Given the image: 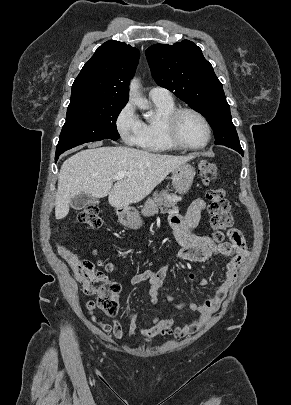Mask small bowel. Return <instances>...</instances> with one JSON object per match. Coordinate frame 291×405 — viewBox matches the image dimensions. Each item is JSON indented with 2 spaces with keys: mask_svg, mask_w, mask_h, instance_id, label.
I'll use <instances>...</instances> for the list:
<instances>
[{
  "mask_svg": "<svg viewBox=\"0 0 291 405\" xmlns=\"http://www.w3.org/2000/svg\"><path fill=\"white\" fill-rule=\"evenodd\" d=\"M205 209L206 201L198 198L192 202L185 216L175 212L170 213L169 222L175 231L177 241L182 246L178 257L184 261L202 262L208 260L215 253L222 254L228 258L223 278L214 294L202 304H174L172 296L166 294L162 298L164 303L172 304L177 309H189L198 315L196 318L176 327L173 318L156 315L150 327L139 329L140 334L147 341H150L155 336L165 335H172L177 339H181L201 329L208 322L211 315L218 310L221 302L237 279L238 269L248 255L246 241L242 233L233 227L227 230L229 242L217 243L211 236H199L190 233V229L197 227L199 224ZM167 271L168 267L164 266L158 271L145 270L137 273L130 279V285L136 286L148 280L150 283V302L155 307L159 302V290L164 284ZM200 284L206 285L207 280L203 279ZM86 308L104 332L113 334L117 339L123 337V328L117 319L113 318L112 324H109L95 317L93 315L95 309L93 302H88ZM138 321L139 313L131 312L128 317V333L133 337L138 332Z\"/></svg>",
  "mask_w": 291,
  "mask_h": 405,
  "instance_id": "1",
  "label": "small bowel"
}]
</instances>
